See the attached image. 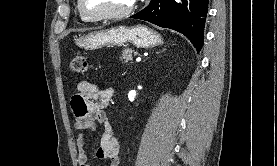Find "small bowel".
<instances>
[{
    "label": "small bowel",
    "instance_id": "c3829d8e",
    "mask_svg": "<svg viewBox=\"0 0 277 166\" xmlns=\"http://www.w3.org/2000/svg\"><path fill=\"white\" fill-rule=\"evenodd\" d=\"M77 89L78 93L72 97L71 107L75 118L74 127L79 130L76 139L79 165L91 166L86 151L88 136L97 124H102L103 133L96 150V158L108 160L109 166H118L120 162L119 142L104 111L111 100L112 90L101 89L87 81L80 82Z\"/></svg>",
    "mask_w": 277,
    "mask_h": 166
}]
</instances>
